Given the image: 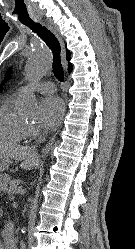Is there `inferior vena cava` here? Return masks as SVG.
I'll return each instance as SVG.
<instances>
[{"label": "inferior vena cava", "mask_w": 135, "mask_h": 249, "mask_svg": "<svg viewBox=\"0 0 135 249\" xmlns=\"http://www.w3.org/2000/svg\"><path fill=\"white\" fill-rule=\"evenodd\" d=\"M42 140H43V139H42V138H40V139L37 141V144L41 143V142H42ZM37 144H36V145H34V146L32 147V149H33V150H35V149H36ZM20 249H26V246H25V244H24L23 242L21 243Z\"/></svg>", "instance_id": "inferior-vena-cava-1"}]
</instances>
